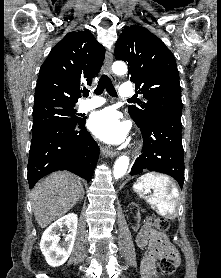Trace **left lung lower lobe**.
I'll return each instance as SVG.
<instances>
[{
	"label": "left lung lower lobe",
	"mask_w": 221,
	"mask_h": 278,
	"mask_svg": "<svg viewBox=\"0 0 221 278\" xmlns=\"http://www.w3.org/2000/svg\"><path fill=\"white\" fill-rule=\"evenodd\" d=\"M139 128L144 141L143 153L135 160L130 175H137L148 170L165 173L175 178L182 188L184 154L181 119L161 115Z\"/></svg>",
	"instance_id": "1"
}]
</instances>
